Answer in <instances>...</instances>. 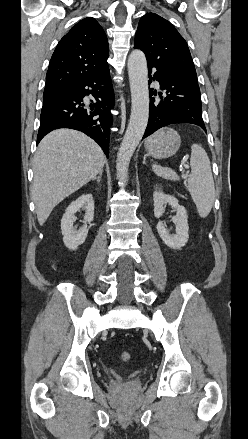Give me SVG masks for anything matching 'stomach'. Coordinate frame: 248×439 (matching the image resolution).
<instances>
[{"instance_id": "stomach-1", "label": "stomach", "mask_w": 248, "mask_h": 439, "mask_svg": "<svg viewBox=\"0 0 248 439\" xmlns=\"http://www.w3.org/2000/svg\"><path fill=\"white\" fill-rule=\"evenodd\" d=\"M181 144V137L172 128H163L145 142L147 153L156 159H165L174 155Z\"/></svg>"}]
</instances>
